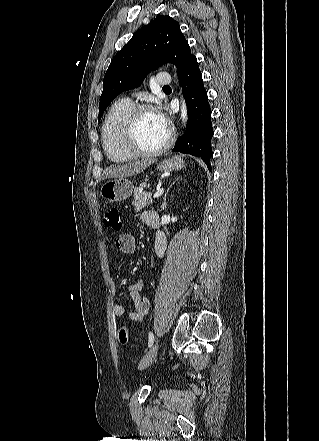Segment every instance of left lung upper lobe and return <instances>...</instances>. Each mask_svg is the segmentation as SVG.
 Returning a JSON list of instances; mask_svg holds the SVG:
<instances>
[{"label": "left lung upper lobe", "mask_w": 319, "mask_h": 441, "mask_svg": "<svg viewBox=\"0 0 319 441\" xmlns=\"http://www.w3.org/2000/svg\"><path fill=\"white\" fill-rule=\"evenodd\" d=\"M193 56L179 23L170 16L156 17L135 33L109 65L103 80L98 120L117 95L140 85L162 62L175 64L179 73Z\"/></svg>", "instance_id": "left-lung-upper-lobe-1"}]
</instances>
